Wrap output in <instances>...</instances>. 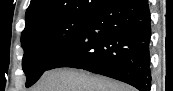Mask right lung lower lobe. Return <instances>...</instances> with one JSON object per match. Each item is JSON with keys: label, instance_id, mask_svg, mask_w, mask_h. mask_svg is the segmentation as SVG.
<instances>
[{"label": "right lung lower lobe", "instance_id": "1", "mask_svg": "<svg viewBox=\"0 0 173 91\" xmlns=\"http://www.w3.org/2000/svg\"><path fill=\"white\" fill-rule=\"evenodd\" d=\"M150 37L147 0H106L47 70L80 68L150 91Z\"/></svg>", "mask_w": 173, "mask_h": 91}]
</instances>
